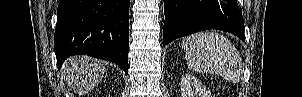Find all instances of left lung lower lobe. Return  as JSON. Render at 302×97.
Masks as SVG:
<instances>
[{
  "label": "left lung lower lobe",
  "instance_id": "0a47b994",
  "mask_svg": "<svg viewBox=\"0 0 302 97\" xmlns=\"http://www.w3.org/2000/svg\"><path fill=\"white\" fill-rule=\"evenodd\" d=\"M163 43L206 29H220L245 41L236 0H163Z\"/></svg>",
  "mask_w": 302,
  "mask_h": 97
}]
</instances>
